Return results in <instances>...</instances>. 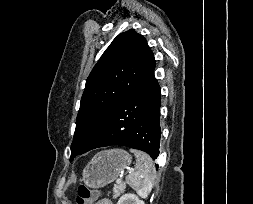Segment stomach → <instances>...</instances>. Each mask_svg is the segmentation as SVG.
I'll return each mask as SVG.
<instances>
[{"instance_id":"obj_1","label":"stomach","mask_w":253,"mask_h":204,"mask_svg":"<svg viewBox=\"0 0 253 204\" xmlns=\"http://www.w3.org/2000/svg\"><path fill=\"white\" fill-rule=\"evenodd\" d=\"M131 162V155L123 149L101 151L86 165L82 180L89 188H102L115 181Z\"/></svg>"}]
</instances>
